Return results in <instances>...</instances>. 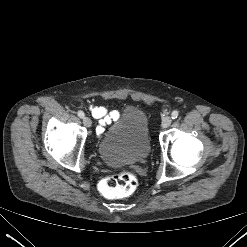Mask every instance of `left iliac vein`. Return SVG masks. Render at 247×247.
I'll return each mask as SVG.
<instances>
[{"label": "left iliac vein", "instance_id": "4c4485c4", "mask_svg": "<svg viewBox=\"0 0 247 247\" xmlns=\"http://www.w3.org/2000/svg\"><path fill=\"white\" fill-rule=\"evenodd\" d=\"M171 123H172V118L170 116H167L162 120L161 126L162 128H167L171 125Z\"/></svg>", "mask_w": 247, "mask_h": 247}]
</instances>
